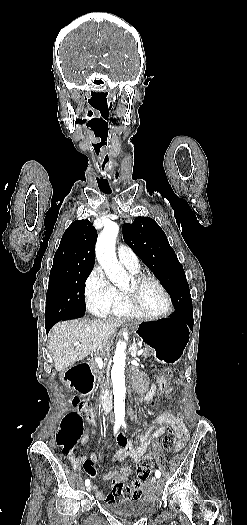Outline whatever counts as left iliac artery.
Masks as SVG:
<instances>
[{"label": "left iliac artery", "mask_w": 247, "mask_h": 525, "mask_svg": "<svg viewBox=\"0 0 247 525\" xmlns=\"http://www.w3.org/2000/svg\"><path fill=\"white\" fill-rule=\"evenodd\" d=\"M122 425H123L124 428H126V424H125L124 422L122 423ZM155 476H156L157 478H160L161 473H160L159 470H156V471H155Z\"/></svg>", "instance_id": "left-iliac-artery-1"}]
</instances>
